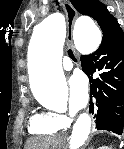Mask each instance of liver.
Segmentation results:
<instances>
[{
  "label": "liver",
  "instance_id": "liver-1",
  "mask_svg": "<svg viewBox=\"0 0 124 149\" xmlns=\"http://www.w3.org/2000/svg\"><path fill=\"white\" fill-rule=\"evenodd\" d=\"M51 138H31L27 141L25 149H50Z\"/></svg>",
  "mask_w": 124,
  "mask_h": 149
}]
</instances>
